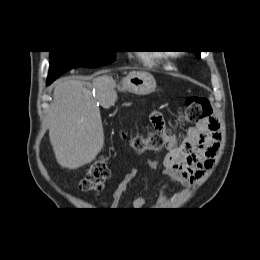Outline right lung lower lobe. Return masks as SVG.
<instances>
[{
    "label": "right lung lower lobe",
    "mask_w": 260,
    "mask_h": 260,
    "mask_svg": "<svg viewBox=\"0 0 260 260\" xmlns=\"http://www.w3.org/2000/svg\"><path fill=\"white\" fill-rule=\"evenodd\" d=\"M51 82L47 81V85H49Z\"/></svg>",
    "instance_id": "right-lung-lower-lobe-1"
}]
</instances>
